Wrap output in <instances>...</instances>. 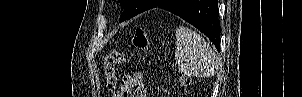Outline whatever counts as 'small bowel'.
Returning <instances> with one entry per match:
<instances>
[{"mask_svg":"<svg viewBox=\"0 0 302 97\" xmlns=\"http://www.w3.org/2000/svg\"><path fill=\"white\" fill-rule=\"evenodd\" d=\"M114 97H147L143 74L135 72L122 78L120 90Z\"/></svg>","mask_w":302,"mask_h":97,"instance_id":"small-bowel-1","label":"small bowel"}]
</instances>
